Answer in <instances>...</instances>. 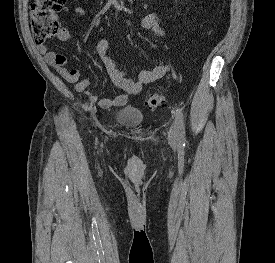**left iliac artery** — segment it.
Returning <instances> with one entry per match:
<instances>
[{
  "label": "left iliac artery",
  "instance_id": "1",
  "mask_svg": "<svg viewBox=\"0 0 275 263\" xmlns=\"http://www.w3.org/2000/svg\"><path fill=\"white\" fill-rule=\"evenodd\" d=\"M176 123L178 128V140L181 143L185 142V126H184V117L182 110L178 108L176 110Z\"/></svg>",
  "mask_w": 275,
  "mask_h": 263
}]
</instances>
